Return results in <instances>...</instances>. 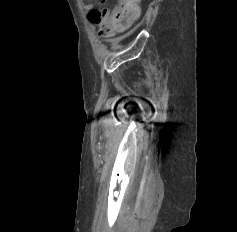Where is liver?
<instances>
[{
	"label": "liver",
	"mask_w": 237,
	"mask_h": 232,
	"mask_svg": "<svg viewBox=\"0 0 237 232\" xmlns=\"http://www.w3.org/2000/svg\"><path fill=\"white\" fill-rule=\"evenodd\" d=\"M137 2H140L141 0H136Z\"/></svg>",
	"instance_id": "liver-1"
}]
</instances>
